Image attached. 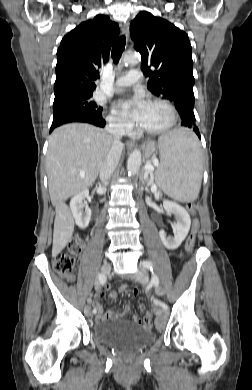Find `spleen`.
<instances>
[{"label": "spleen", "mask_w": 252, "mask_h": 390, "mask_svg": "<svg viewBox=\"0 0 252 390\" xmlns=\"http://www.w3.org/2000/svg\"><path fill=\"white\" fill-rule=\"evenodd\" d=\"M162 163L155 173L156 184L179 202L197 199L203 172V155L194 133L176 129L159 138Z\"/></svg>", "instance_id": "3e777b00"}]
</instances>
